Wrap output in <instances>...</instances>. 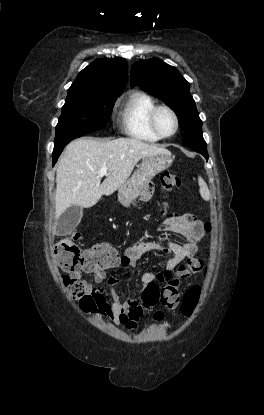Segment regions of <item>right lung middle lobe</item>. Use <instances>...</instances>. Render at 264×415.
<instances>
[{"mask_svg": "<svg viewBox=\"0 0 264 415\" xmlns=\"http://www.w3.org/2000/svg\"><path fill=\"white\" fill-rule=\"evenodd\" d=\"M119 95L67 97L56 126L54 150L75 138L106 127Z\"/></svg>", "mask_w": 264, "mask_h": 415, "instance_id": "right-lung-middle-lobe-1", "label": "right lung middle lobe"}]
</instances>
